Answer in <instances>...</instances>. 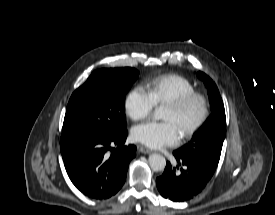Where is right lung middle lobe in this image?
<instances>
[{"mask_svg": "<svg viewBox=\"0 0 275 215\" xmlns=\"http://www.w3.org/2000/svg\"><path fill=\"white\" fill-rule=\"evenodd\" d=\"M138 73L128 67L94 71L72 94L61 137H107L126 130L124 98Z\"/></svg>", "mask_w": 275, "mask_h": 215, "instance_id": "obj_1", "label": "right lung middle lobe"}]
</instances>
